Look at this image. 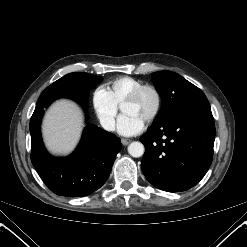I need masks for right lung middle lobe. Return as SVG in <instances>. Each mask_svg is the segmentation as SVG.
<instances>
[{
    "mask_svg": "<svg viewBox=\"0 0 247 247\" xmlns=\"http://www.w3.org/2000/svg\"><path fill=\"white\" fill-rule=\"evenodd\" d=\"M101 80L102 77L93 76L88 73L73 72L60 78L43 92L88 93V90L93 89Z\"/></svg>",
    "mask_w": 247,
    "mask_h": 247,
    "instance_id": "dd1d6c3e",
    "label": "right lung middle lobe"
}]
</instances>
